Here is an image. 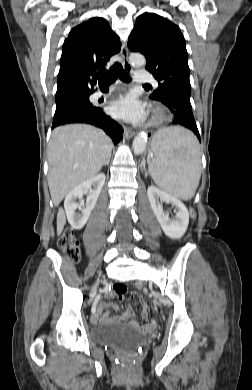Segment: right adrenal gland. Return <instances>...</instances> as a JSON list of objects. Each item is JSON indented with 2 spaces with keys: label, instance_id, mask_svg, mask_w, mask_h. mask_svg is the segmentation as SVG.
<instances>
[{
  "label": "right adrenal gland",
  "instance_id": "2a0ac1e0",
  "mask_svg": "<svg viewBox=\"0 0 252 390\" xmlns=\"http://www.w3.org/2000/svg\"><path fill=\"white\" fill-rule=\"evenodd\" d=\"M109 162H110V157H109V159L107 160V162L104 164L105 166L106 165H109Z\"/></svg>",
  "mask_w": 252,
  "mask_h": 390
}]
</instances>
